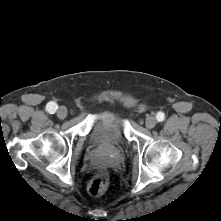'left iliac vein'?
Returning a JSON list of instances; mask_svg holds the SVG:
<instances>
[{
	"instance_id": "left-iliac-vein-1",
	"label": "left iliac vein",
	"mask_w": 221,
	"mask_h": 221,
	"mask_svg": "<svg viewBox=\"0 0 221 221\" xmlns=\"http://www.w3.org/2000/svg\"><path fill=\"white\" fill-rule=\"evenodd\" d=\"M156 123H157L156 118L154 116L150 115L146 118L145 126L148 129H152L155 127Z\"/></svg>"
}]
</instances>
